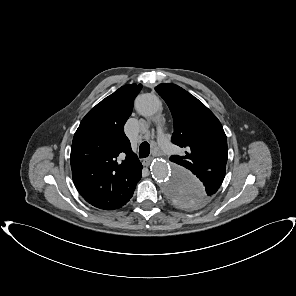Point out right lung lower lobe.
Segmentation results:
<instances>
[{"instance_id":"1","label":"right lung lower lobe","mask_w":296,"mask_h":296,"mask_svg":"<svg viewBox=\"0 0 296 296\" xmlns=\"http://www.w3.org/2000/svg\"><path fill=\"white\" fill-rule=\"evenodd\" d=\"M140 178H141V171H140V174H139V176H138V181L140 180Z\"/></svg>"}]
</instances>
